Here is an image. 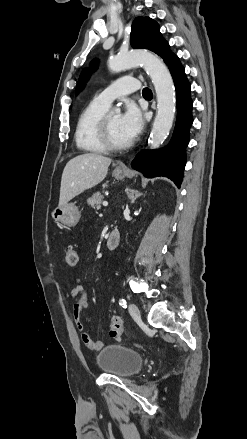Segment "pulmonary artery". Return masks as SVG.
I'll return each instance as SVG.
<instances>
[{"label":"pulmonary artery","mask_w":247,"mask_h":439,"mask_svg":"<svg viewBox=\"0 0 247 439\" xmlns=\"http://www.w3.org/2000/svg\"><path fill=\"white\" fill-rule=\"evenodd\" d=\"M139 87L140 83L137 79L129 76L122 77L99 93L95 99L110 106L115 99L137 91Z\"/></svg>","instance_id":"obj_1"}]
</instances>
